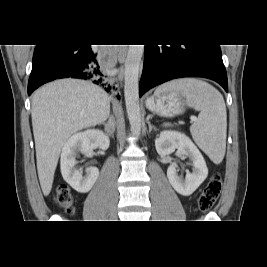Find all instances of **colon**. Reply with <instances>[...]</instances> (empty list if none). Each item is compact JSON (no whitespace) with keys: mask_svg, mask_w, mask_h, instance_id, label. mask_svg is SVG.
I'll return each mask as SVG.
<instances>
[{"mask_svg":"<svg viewBox=\"0 0 267 267\" xmlns=\"http://www.w3.org/2000/svg\"><path fill=\"white\" fill-rule=\"evenodd\" d=\"M222 189V178L219 173H213L209 182L198 199V208L201 212H208L216 203ZM55 203L71 213L74 210V198L66 185H60L55 194Z\"/></svg>","mask_w":267,"mask_h":267,"instance_id":"1","label":"colon"}]
</instances>
